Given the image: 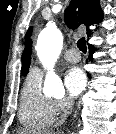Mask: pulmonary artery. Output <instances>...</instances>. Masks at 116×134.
I'll use <instances>...</instances> for the list:
<instances>
[{"mask_svg": "<svg viewBox=\"0 0 116 134\" xmlns=\"http://www.w3.org/2000/svg\"><path fill=\"white\" fill-rule=\"evenodd\" d=\"M64 58L66 61L71 62V63H76L81 59L80 54L78 53L77 50L75 49H70L68 51L65 52L64 54ZM34 69L40 71L39 68L35 67ZM41 72V71H40Z\"/></svg>", "mask_w": 116, "mask_h": 134, "instance_id": "obj_1", "label": "pulmonary artery"}]
</instances>
